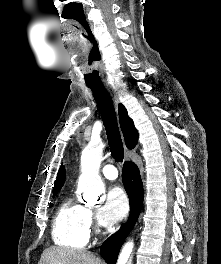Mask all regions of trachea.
Segmentation results:
<instances>
[{
  "label": "trachea",
  "mask_w": 221,
  "mask_h": 264,
  "mask_svg": "<svg viewBox=\"0 0 221 264\" xmlns=\"http://www.w3.org/2000/svg\"><path fill=\"white\" fill-rule=\"evenodd\" d=\"M93 91L105 126L111 156L116 162H123L124 149L117 123L116 113L109 93L103 85H88Z\"/></svg>",
  "instance_id": "3493384b"
}]
</instances>
